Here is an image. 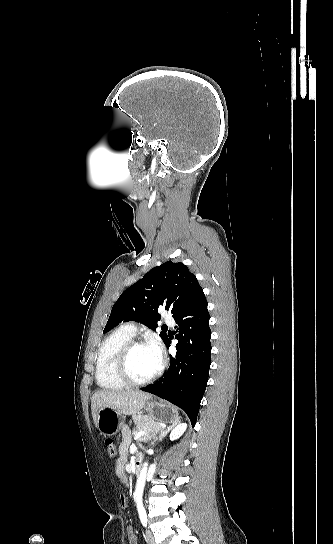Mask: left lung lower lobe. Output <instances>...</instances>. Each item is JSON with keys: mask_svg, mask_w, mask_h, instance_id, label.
Instances as JSON below:
<instances>
[{"mask_svg": "<svg viewBox=\"0 0 333 544\" xmlns=\"http://www.w3.org/2000/svg\"><path fill=\"white\" fill-rule=\"evenodd\" d=\"M204 293L173 318L178 324L176 356L160 382L142 388L182 408L196 423L211 364V330ZM170 339L165 345L169 348Z\"/></svg>", "mask_w": 333, "mask_h": 544, "instance_id": "obj_1", "label": "left lung lower lobe"}]
</instances>
